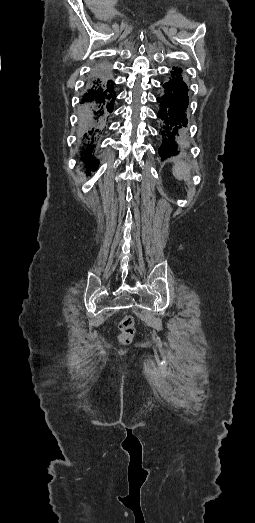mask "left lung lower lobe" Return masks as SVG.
Wrapping results in <instances>:
<instances>
[{"label":"left lung lower lobe","instance_id":"1","mask_svg":"<svg viewBox=\"0 0 255 523\" xmlns=\"http://www.w3.org/2000/svg\"><path fill=\"white\" fill-rule=\"evenodd\" d=\"M159 88L163 95L157 97V103L160 109H157L156 119L164 121V129L158 130L161 134L162 143H160L158 161L167 162L174 157V153H179V148H184L185 137L187 132L183 130L187 128L188 106L191 104V99L188 87L180 84V81L174 80V77H169L167 80L160 82ZM170 88V89H167ZM185 112V113H184Z\"/></svg>","mask_w":255,"mask_h":523}]
</instances>
